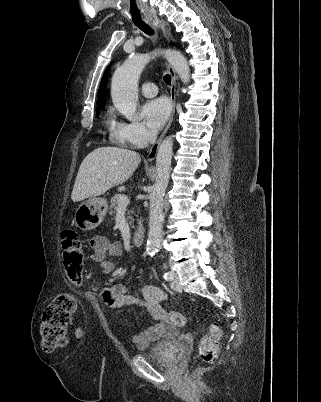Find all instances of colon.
<instances>
[{
    "mask_svg": "<svg viewBox=\"0 0 321 402\" xmlns=\"http://www.w3.org/2000/svg\"><path fill=\"white\" fill-rule=\"evenodd\" d=\"M63 265L68 281L74 289H80L84 266L82 239L72 229L62 235ZM77 309V299L70 293H61L49 303L43 312L40 325V338L43 349L53 351L67 343V328ZM178 325L185 324V318L180 314L174 315ZM223 332L218 324L212 325L208 336L199 345L198 352L204 362H214L219 354V340Z\"/></svg>",
    "mask_w": 321,
    "mask_h": 402,
    "instance_id": "5ec220e1",
    "label": "colon"
}]
</instances>
